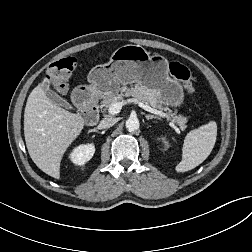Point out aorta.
<instances>
[{"mask_svg": "<svg viewBox=\"0 0 252 252\" xmlns=\"http://www.w3.org/2000/svg\"><path fill=\"white\" fill-rule=\"evenodd\" d=\"M125 126L128 131L132 132V131H136L139 129L140 123H139L138 118L129 117L126 121Z\"/></svg>", "mask_w": 252, "mask_h": 252, "instance_id": "aorta-1", "label": "aorta"}]
</instances>
